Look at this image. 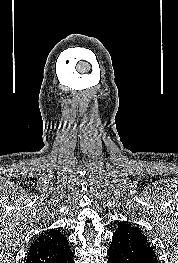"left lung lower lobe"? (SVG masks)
Returning a JSON list of instances; mask_svg holds the SVG:
<instances>
[{
	"label": "left lung lower lobe",
	"instance_id": "obj_1",
	"mask_svg": "<svg viewBox=\"0 0 178 263\" xmlns=\"http://www.w3.org/2000/svg\"><path fill=\"white\" fill-rule=\"evenodd\" d=\"M107 253V263H158L145 235L126 222L118 226Z\"/></svg>",
	"mask_w": 178,
	"mask_h": 263
}]
</instances>
